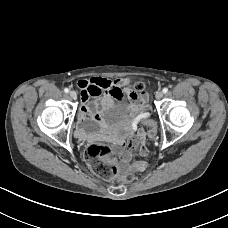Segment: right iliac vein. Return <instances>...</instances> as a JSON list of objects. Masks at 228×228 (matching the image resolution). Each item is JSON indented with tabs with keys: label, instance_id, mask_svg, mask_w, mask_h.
<instances>
[{
	"label": "right iliac vein",
	"instance_id": "obj_1",
	"mask_svg": "<svg viewBox=\"0 0 228 228\" xmlns=\"http://www.w3.org/2000/svg\"><path fill=\"white\" fill-rule=\"evenodd\" d=\"M69 95H70L71 99H73V100L77 99V94L75 91H70Z\"/></svg>",
	"mask_w": 228,
	"mask_h": 228
}]
</instances>
